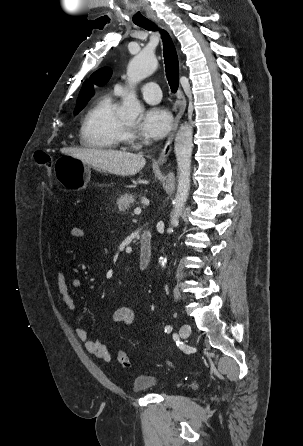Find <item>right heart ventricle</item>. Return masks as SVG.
I'll return each mask as SVG.
<instances>
[{"instance_id": "e07e8e85", "label": "right heart ventricle", "mask_w": 303, "mask_h": 446, "mask_svg": "<svg viewBox=\"0 0 303 446\" xmlns=\"http://www.w3.org/2000/svg\"><path fill=\"white\" fill-rule=\"evenodd\" d=\"M115 90L98 97L85 112L80 127V143L92 149H115L125 137L121 119L116 113Z\"/></svg>"}]
</instances>
